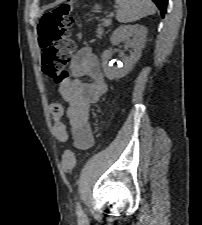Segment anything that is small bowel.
Masks as SVG:
<instances>
[{"label": "small bowel", "instance_id": "small-bowel-1", "mask_svg": "<svg viewBox=\"0 0 202 225\" xmlns=\"http://www.w3.org/2000/svg\"><path fill=\"white\" fill-rule=\"evenodd\" d=\"M69 68L68 76L58 85V92L68 104L65 115L74 143L79 149L86 150L94 144L89 109L107 93L108 83L90 47L80 48L73 56ZM85 78H89L90 82H86ZM52 119L53 135L60 142H67L69 132L61 122V116L52 113Z\"/></svg>", "mask_w": 202, "mask_h": 225}]
</instances>
